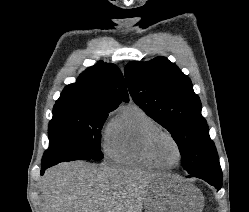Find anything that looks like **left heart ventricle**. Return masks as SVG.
Instances as JSON below:
<instances>
[{"mask_svg": "<svg viewBox=\"0 0 249 212\" xmlns=\"http://www.w3.org/2000/svg\"><path fill=\"white\" fill-rule=\"evenodd\" d=\"M155 151L163 163L175 164L178 160V152L175 145L166 137L158 139L155 145Z\"/></svg>", "mask_w": 249, "mask_h": 212, "instance_id": "obj_1", "label": "left heart ventricle"}]
</instances>
